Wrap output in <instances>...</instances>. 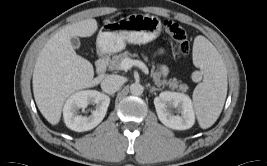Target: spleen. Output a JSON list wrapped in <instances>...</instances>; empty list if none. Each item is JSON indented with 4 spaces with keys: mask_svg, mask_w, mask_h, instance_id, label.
I'll use <instances>...</instances> for the list:
<instances>
[{
    "mask_svg": "<svg viewBox=\"0 0 267 166\" xmlns=\"http://www.w3.org/2000/svg\"><path fill=\"white\" fill-rule=\"evenodd\" d=\"M193 63L203 74V82L193 92V104L201 128L211 127L220 116L227 95V72L216 48L203 36L193 44Z\"/></svg>",
    "mask_w": 267,
    "mask_h": 166,
    "instance_id": "obj_1",
    "label": "spleen"
}]
</instances>
